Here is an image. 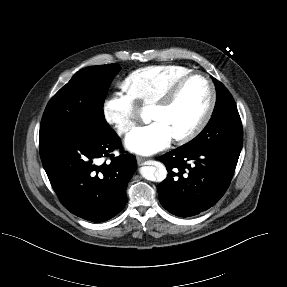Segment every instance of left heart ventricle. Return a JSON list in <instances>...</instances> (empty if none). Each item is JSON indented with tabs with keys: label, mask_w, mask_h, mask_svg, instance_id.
I'll return each mask as SVG.
<instances>
[{
	"label": "left heart ventricle",
	"mask_w": 287,
	"mask_h": 287,
	"mask_svg": "<svg viewBox=\"0 0 287 287\" xmlns=\"http://www.w3.org/2000/svg\"><path fill=\"white\" fill-rule=\"evenodd\" d=\"M210 99L207 83L200 77L190 79L181 89L177 98L167 108L153 107L152 121H161L173 137L192 129L203 116Z\"/></svg>",
	"instance_id": "1"
}]
</instances>
